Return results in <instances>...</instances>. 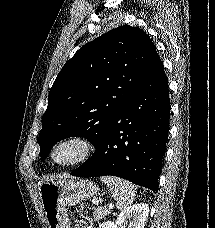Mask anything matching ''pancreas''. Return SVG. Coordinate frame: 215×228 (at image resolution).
I'll return each instance as SVG.
<instances>
[{
  "label": "pancreas",
  "mask_w": 215,
  "mask_h": 228,
  "mask_svg": "<svg viewBox=\"0 0 215 228\" xmlns=\"http://www.w3.org/2000/svg\"><path fill=\"white\" fill-rule=\"evenodd\" d=\"M112 210H109V208H97L94 214V220H102L104 216H109L111 214Z\"/></svg>",
  "instance_id": "1"
}]
</instances>
